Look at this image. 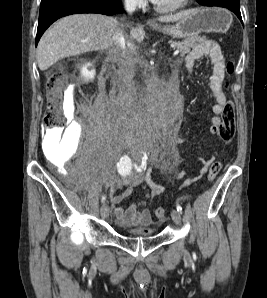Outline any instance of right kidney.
<instances>
[{"label": "right kidney", "mask_w": 267, "mask_h": 298, "mask_svg": "<svg viewBox=\"0 0 267 298\" xmlns=\"http://www.w3.org/2000/svg\"><path fill=\"white\" fill-rule=\"evenodd\" d=\"M81 76L84 78L86 82L92 80L95 76V70L92 69V64L87 63L81 68Z\"/></svg>", "instance_id": "obj_1"}]
</instances>
